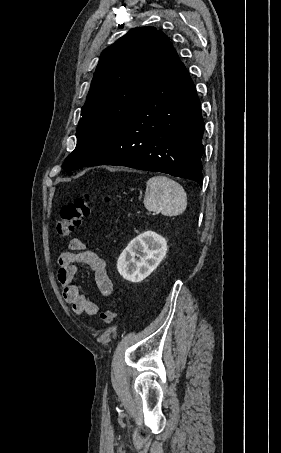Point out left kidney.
Here are the masks:
<instances>
[{
    "mask_svg": "<svg viewBox=\"0 0 281 453\" xmlns=\"http://www.w3.org/2000/svg\"><path fill=\"white\" fill-rule=\"evenodd\" d=\"M166 253V239L153 231H146L135 237L121 253L117 261L118 273L126 281L141 283L146 277H149L152 271L157 269Z\"/></svg>",
    "mask_w": 281,
    "mask_h": 453,
    "instance_id": "obj_1",
    "label": "left kidney"
}]
</instances>
